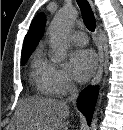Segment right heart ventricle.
<instances>
[{
    "label": "right heart ventricle",
    "mask_w": 123,
    "mask_h": 130,
    "mask_svg": "<svg viewBox=\"0 0 123 130\" xmlns=\"http://www.w3.org/2000/svg\"><path fill=\"white\" fill-rule=\"evenodd\" d=\"M49 65L42 52H37L32 61V80L41 94L54 96Z\"/></svg>",
    "instance_id": "obj_1"
}]
</instances>
